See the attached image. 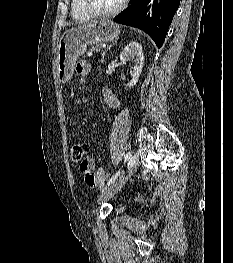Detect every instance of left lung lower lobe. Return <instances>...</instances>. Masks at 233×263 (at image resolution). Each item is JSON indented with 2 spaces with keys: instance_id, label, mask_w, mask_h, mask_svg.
<instances>
[{
  "instance_id": "0a47b994",
  "label": "left lung lower lobe",
  "mask_w": 233,
  "mask_h": 263,
  "mask_svg": "<svg viewBox=\"0 0 233 263\" xmlns=\"http://www.w3.org/2000/svg\"><path fill=\"white\" fill-rule=\"evenodd\" d=\"M179 4L180 0H131L114 21L144 30L161 47Z\"/></svg>"
}]
</instances>
